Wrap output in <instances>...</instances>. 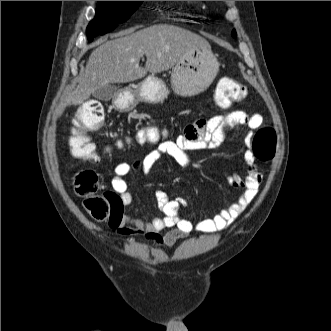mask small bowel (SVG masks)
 Masks as SVG:
<instances>
[{"mask_svg":"<svg viewBox=\"0 0 331 331\" xmlns=\"http://www.w3.org/2000/svg\"><path fill=\"white\" fill-rule=\"evenodd\" d=\"M262 123V115L247 114L240 110L217 114L209 119H197L186 125L183 133L176 140L161 141L143 158L136 159L132 163L117 164L111 179L112 189L118 195L122 205L128 206L133 201L125 179L129 173L141 170L148 174L153 165L163 156L171 157L180 165L187 166L190 163L187 151L217 149L226 134L237 126L249 128L250 131L245 136V143L250 145L251 131L259 128ZM254 158L251 150L245 152L246 176L231 175L228 177L229 184L240 189L241 192L231 205L223 208L213 217L203 218L194 224L181 216V209L187 207L186 199H170L165 192L158 191L156 199L164 216L145 220L130 214H123L118 220V233L125 237L142 235L156 244L172 246L179 239L194 231L216 233L228 228L246 210L258 192L261 174L254 165ZM164 229L171 230L161 236L159 233Z\"/></svg>","mask_w":331,"mask_h":331,"instance_id":"obj_1","label":"small bowel"}]
</instances>
